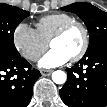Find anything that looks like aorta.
<instances>
[{
	"label": "aorta",
	"instance_id": "aorta-1",
	"mask_svg": "<svg viewBox=\"0 0 107 107\" xmlns=\"http://www.w3.org/2000/svg\"><path fill=\"white\" fill-rule=\"evenodd\" d=\"M52 80L56 84H64L67 80V75L64 71L62 70H57L52 73Z\"/></svg>",
	"mask_w": 107,
	"mask_h": 107
}]
</instances>
